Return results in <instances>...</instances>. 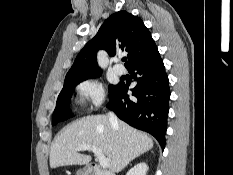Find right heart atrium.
<instances>
[{
  "label": "right heart atrium",
  "mask_w": 233,
  "mask_h": 175,
  "mask_svg": "<svg viewBox=\"0 0 233 175\" xmlns=\"http://www.w3.org/2000/svg\"><path fill=\"white\" fill-rule=\"evenodd\" d=\"M77 93L83 103L93 108L99 107L105 99L103 83L96 78H87L77 85Z\"/></svg>",
  "instance_id": "1"
}]
</instances>
